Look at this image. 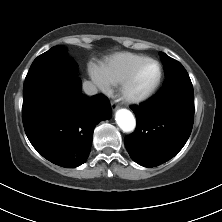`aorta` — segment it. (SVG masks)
Wrapping results in <instances>:
<instances>
[{"mask_svg":"<svg viewBox=\"0 0 222 222\" xmlns=\"http://www.w3.org/2000/svg\"><path fill=\"white\" fill-rule=\"evenodd\" d=\"M115 120L123 132H132L136 127V120L132 112L127 109H119L116 112Z\"/></svg>","mask_w":222,"mask_h":222,"instance_id":"762f6f07","label":"aorta"}]
</instances>
